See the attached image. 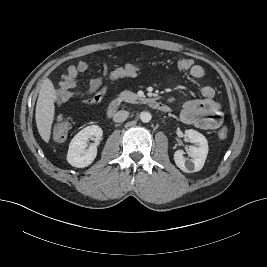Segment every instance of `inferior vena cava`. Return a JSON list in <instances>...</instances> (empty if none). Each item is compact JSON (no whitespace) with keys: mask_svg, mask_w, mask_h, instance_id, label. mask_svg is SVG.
Segmentation results:
<instances>
[{"mask_svg":"<svg viewBox=\"0 0 267 267\" xmlns=\"http://www.w3.org/2000/svg\"><path fill=\"white\" fill-rule=\"evenodd\" d=\"M129 116V112L125 110H120L117 113H115L113 117L114 122H124Z\"/></svg>","mask_w":267,"mask_h":267,"instance_id":"1","label":"inferior vena cava"}]
</instances>
